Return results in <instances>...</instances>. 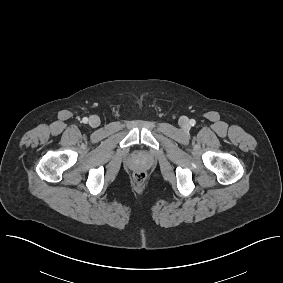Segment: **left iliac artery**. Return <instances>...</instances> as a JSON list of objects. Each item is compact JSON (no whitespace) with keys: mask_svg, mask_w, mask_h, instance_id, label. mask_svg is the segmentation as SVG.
I'll return each mask as SVG.
<instances>
[{"mask_svg":"<svg viewBox=\"0 0 283 283\" xmlns=\"http://www.w3.org/2000/svg\"><path fill=\"white\" fill-rule=\"evenodd\" d=\"M195 124H196V121H195L194 119H191V120H190V125H191V126H194Z\"/></svg>","mask_w":283,"mask_h":283,"instance_id":"left-iliac-artery-1","label":"left iliac artery"}]
</instances>
